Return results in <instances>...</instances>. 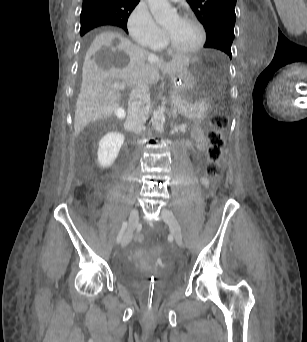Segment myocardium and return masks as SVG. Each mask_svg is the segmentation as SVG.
Returning <instances> with one entry per match:
<instances>
[{"label": "myocardium", "mask_w": 307, "mask_h": 342, "mask_svg": "<svg viewBox=\"0 0 307 342\" xmlns=\"http://www.w3.org/2000/svg\"><path fill=\"white\" fill-rule=\"evenodd\" d=\"M179 20L183 22H191L198 27L200 31V39L198 43L190 49L176 50L169 46L168 40L165 36L161 49L164 52L171 54V55H175V56H187V55H193V54L198 53L200 50H202L206 46V43H207L208 34H207V29H206L205 24L203 23L202 20L192 15L181 16L179 17Z\"/></svg>", "instance_id": "1"}]
</instances>
